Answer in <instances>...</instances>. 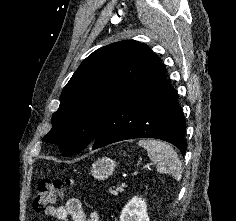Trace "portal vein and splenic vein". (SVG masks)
I'll list each match as a JSON object with an SVG mask.
<instances>
[{"label": "portal vein and splenic vein", "mask_w": 236, "mask_h": 221, "mask_svg": "<svg viewBox=\"0 0 236 221\" xmlns=\"http://www.w3.org/2000/svg\"><path fill=\"white\" fill-rule=\"evenodd\" d=\"M138 173H139L138 171H135V172H134V175H138ZM125 186H126V183H123V184H122V187H125Z\"/></svg>", "instance_id": "18ae733b"}]
</instances>
